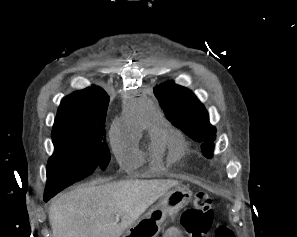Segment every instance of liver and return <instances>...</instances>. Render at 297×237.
<instances>
[{
	"instance_id": "liver-1",
	"label": "liver",
	"mask_w": 297,
	"mask_h": 237,
	"mask_svg": "<svg viewBox=\"0 0 297 237\" xmlns=\"http://www.w3.org/2000/svg\"><path fill=\"white\" fill-rule=\"evenodd\" d=\"M176 180H128L80 186L51 205L53 237H120ZM121 216L117 224L114 215Z\"/></svg>"
}]
</instances>
